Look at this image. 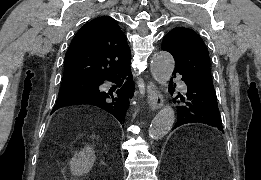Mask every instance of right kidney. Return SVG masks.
Masks as SVG:
<instances>
[{"label":"right kidney","mask_w":261,"mask_h":180,"mask_svg":"<svg viewBox=\"0 0 261 180\" xmlns=\"http://www.w3.org/2000/svg\"><path fill=\"white\" fill-rule=\"evenodd\" d=\"M95 152L93 148H83L82 152H78L70 160V170L73 176H83L88 174L89 170H92L95 162Z\"/></svg>","instance_id":"ca27d5eb"}]
</instances>
